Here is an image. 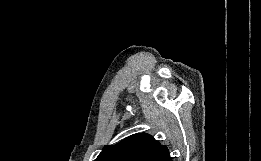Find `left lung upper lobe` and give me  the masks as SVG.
<instances>
[{
    "instance_id": "obj_1",
    "label": "left lung upper lobe",
    "mask_w": 261,
    "mask_h": 161,
    "mask_svg": "<svg viewBox=\"0 0 261 161\" xmlns=\"http://www.w3.org/2000/svg\"><path fill=\"white\" fill-rule=\"evenodd\" d=\"M151 135H131L116 145H106L95 161H155L166 150Z\"/></svg>"
}]
</instances>
